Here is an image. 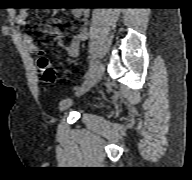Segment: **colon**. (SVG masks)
Instances as JSON below:
<instances>
[{
    "label": "colon",
    "mask_w": 192,
    "mask_h": 180,
    "mask_svg": "<svg viewBox=\"0 0 192 180\" xmlns=\"http://www.w3.org/2000/svg\"><path fill=\"white\" fill-rule=\"evenodd\" d=\"M38 54L37 66L42 74L43 80L47 83H54L57 79L56 71L42 51H39Z\"/></svg>",
    "instance_id": "5ec220e1"
}]
</instances>
